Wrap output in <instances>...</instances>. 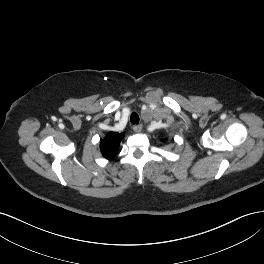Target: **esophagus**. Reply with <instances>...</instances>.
Instances as JSON below:
<instances>
[{
    "mask_svg": "<svg viewBox=\"0 0 264 264\" xmlns=\"http://www.w3.org/2000/svg\"><path fill=\"white\" fill-rule=\"evenodd\" d=\"M133 130H134L136 133L141 132V130H142V125H134V126H133Z\"/></svg>",
    "mask_w": 264,
    "mask_h": 264,
    "instance_id": "34e87169",
    "label": "esophagus"
}]
</instances>
